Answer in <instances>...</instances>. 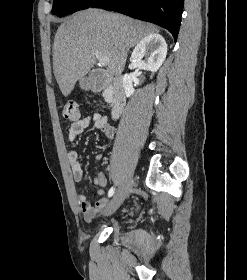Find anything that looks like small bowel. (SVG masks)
Returning <instances> with one entry per match:
<instances>
[{
	"mask_svg": "<svg viewBox=\"0 0 247 280\" xmlns=\"http://www.w3.org/2000/svg\"><path fill=\"white\" fill-rule=\"evenodd\" d=\"M91 126L94 129L102 131L108 139H113L116 134L115 127L108 122L106 116L101 114H93L74 121L68 133V142L73 145L78 135H80L86 128ZM96 160L102 159V154H96ZM68 160L74 181L80 182L83 179V170L78 153L74 150L68 152ZM94 184L100 187L107 185V178L102 171H97L94 176ZM98 198L94 204H91L84 194H79L77 197L80 210L86 221L92 220L97 213L103 211L109 205V201L102 197L103 191L100 189L97 192Z\"/></svg>",
	"mask_w": 247,
	"mask_h": 280,
	"instance_id": "1",
	"label": "small bowel"
}]
</instances>
